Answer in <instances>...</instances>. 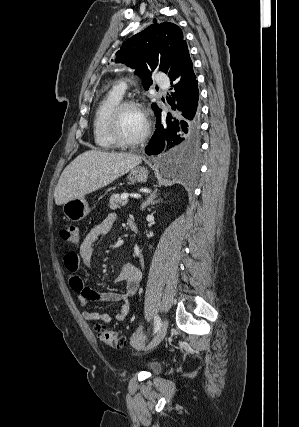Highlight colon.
<instances>
[{"label":"colon","mask_w":299,"mask_h":427,"mask_svg":"<svg viewBox=\"0 0 299 427\" xmlns=\"http://www.w3.org/2000/svg\"><path fill=\"white\" fill-rule=\"evenodd\" d=\"M60 234L65 241L71 244L77 245L81 241L80 229L77 225H69L63 228L60 231ZM96 330L100 340L103 341L105 344L115 348H121L123 346V338L114 331L108 330L101 326H97Z\"/></svg>","instance_id":"1"}]
</instances>
